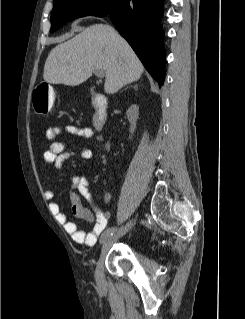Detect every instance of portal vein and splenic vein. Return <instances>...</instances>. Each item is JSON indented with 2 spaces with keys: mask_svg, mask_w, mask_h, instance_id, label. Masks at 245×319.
<instances>
[{
  "mask_svg": "<svg viewBox=\"0 0 245 319\" xmlns=\"http://www.w3.org/2000/svg\"><path fill=\"white\" fill-rule=\"evenodd\" d=\"M94 73H95V75L97 76V77H99V78H103L104 77V72H103V70H96V71H94Z\"/></svg>",
  "mask_w": 245,
  "mask_h": 319,
  "instance_id": "obj_1",
  "label": "portal vein and splenic vein"
}]
</instances>
